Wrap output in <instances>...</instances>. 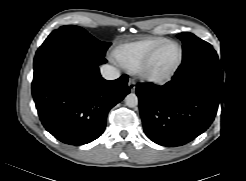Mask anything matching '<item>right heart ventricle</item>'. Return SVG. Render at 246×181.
<instances>
[{
    "label": "right heart ventricle",
    "instance_id": "e07e8e85",
    "mask_svg": "<svg viewBox=\"0 0 246 181\" xmlns=\"http://www.w3.org/2000/svg\"><path fill=\"white\" fill-rule=\"evenodd\" d=\"M161 44L162 40L147 37L118 47L114 54L123 66L131 69L138 67Z\"/></svg>",
    "mask_w": 246,
    "mask_h": 181
}]
</instances>
